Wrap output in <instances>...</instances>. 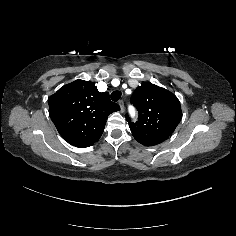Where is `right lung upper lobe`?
<instances>
[{
    "mask_svg": "<svg viewBox=\"0 0 236 236\" xmlns=\"http://www.w3.org/2000/svg\"><path fill=\"white\" fill-rule=\"evenodd\" d=\"M48 103L59 134L79 148L93 145L101 137L108 115L120 110L107 92L101 93L93 82L80 79L61 87Z\"/></svg>",
    "mask_w": 236,
    "mask_h": 236,
    "instance_id": "right-lung-upper-lobe-1",
    "label": "right lung upper lobe"
}]
</instances>
